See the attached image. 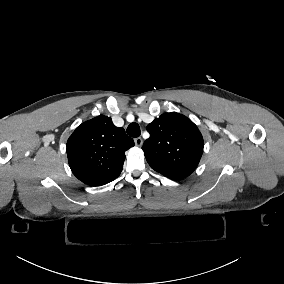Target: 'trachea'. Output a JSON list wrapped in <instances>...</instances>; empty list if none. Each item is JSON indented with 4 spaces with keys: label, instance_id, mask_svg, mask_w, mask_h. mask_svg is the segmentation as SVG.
Listing matches in <instances>:
<instances>
[{
    "label": "trachea",
    "instance_id": "trachea-1",
    "mask_svg": "<svg viewBox=\"0 0 284 284\" xmlns=\"http://www.w3.org/2000/svg\"><path fill=\"white\" fill-rule=\"evenodd\" d=\"M127 134L133 138L139 137L141 134L140 127L137 123H131L126 130Z\"/></svg>",
    "mask_w": 284,
    "mask_h": 284
}]
</instances>
